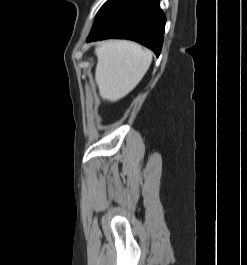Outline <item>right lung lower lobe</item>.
Segmentation results:
<instances>
[{"label": "right lung lower lobe", "instance_id": "1", "mask_svg": "<svg viewBox=\"0 0 247 265\" xmlns=\"http://www.w3.org/2000/svg\"><path fill=\"white\" fill-rule=\"evenodd\" d=\"M165 21L159 0H108L98 12L87 42L126 38L145 45L159 56Z\"/></svg>", "mask_w": 247, "mask_h": 265}]
</instances>
